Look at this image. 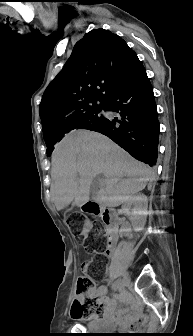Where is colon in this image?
<instances>
[{
    "label": "colon",
    "mask_w": 193,
    "mask_h": 336,
    "mask_svg": "<svg viewBox=\"0 0 193 336\" xmlns=\"http://www.w3.org/2000/svg\"><path fill=\"white\" fill-rule=\"evenodd\" d=\"M68 227L74 232L78 242L85 245L88 250L101 252L103 250L102 227L96 221L88 222L85 218L75 213L67 221ZM90 232V235L88 232ZM89 262L82 263L83 274L78 278L76 295L71 307V317L75 320L88 318L93 314L103 312V304L99 297L88 296L94 288V279L87 274Z\"/></svg>",
    "instance_id": "1"
}]
</instances>
